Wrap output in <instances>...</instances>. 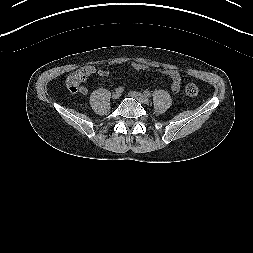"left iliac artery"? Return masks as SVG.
I'll return each instance as SVG.
<instances>
[{
	"label": "left iliac artery",
	"instance_id": "obj_1",
	"mask_svg": "<svg viewBox=\"0 0 253 253\" xmlns=\"http://www.w3.org/2000/svg\"><path fill=\"white\" fill-rule=\"evenodd\" d=\"M144 95L147 96V97H150L151 96V93L149 91H144Z\"/></svg>",
	"mask_w": 253,
	"mask_h": 253
}]
</instances>
